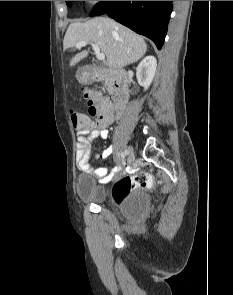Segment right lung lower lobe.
<instances>
[{"label": "right lung lower lobe", "mask_w": 233, "mask_h": 295, "mask_svg": "<svg viewBox=\"0 0 233 295\" xmlns=\"http://www.w3.org/2000/svg\"><path fill=\"white\" fill-rule=\"evenodd\" d=\"M171 12L172 1H100L90 16L107 13L119 23L147 36L161 49Z\"/></svg>", "instance_id": "right-lung-lower-lobe-1"}]
</instances>
